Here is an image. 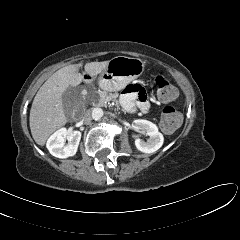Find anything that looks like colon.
Listing matches in <instances>:
<instances>
[{
  "instance_id": "obj_1",
  "label": "colon",
  "mask_w": 240,
  "mask_h": 240,
  "mask_svg": "<svg viewBox=\"0 0 240 240\" xmlns=\"http://www.w3.org/2000/svg\"><path fill=\"white\" fill-rule=\"evenodd\" d=\"M155 89L158 99L164 103L172 102L178 96L176 87L163 76L156 77ZM181 120L180 113L173 107L167 106L162 111L160 121L161 129L166 133H171L179 127Z\"/></svg>"
}]
</instances>
